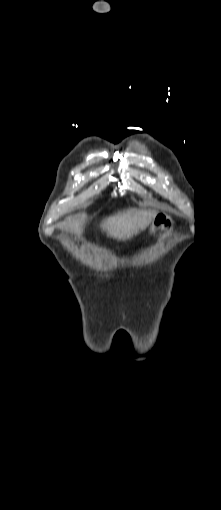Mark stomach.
Listing matches in <instances>:
<instances>
[{
    "label": "stomach",
    "instance_id": "obj_1",
    "mask_svg": "<svg viewBox=\"0 0 221 510\" xmlns=\"http://www.w3.org/2000/svg\"><path fill=\"white\" fill-rule=\"evenodd\" d=\"M174 228L173 219L166 213H158L152 223L151 233L154 234L158 230L170 232Z\"/></svg>",
    "mask_w": 221,
    "mask_h": 510
}]
</instances>
